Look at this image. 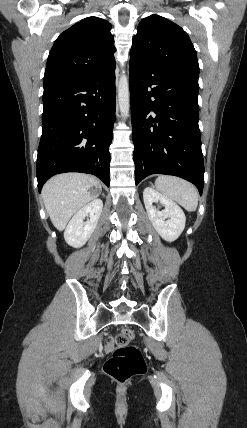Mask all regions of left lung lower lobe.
<instances>
[{
    "instance_id": "1",
    "label": "left lung lower lobe",
    "mask_w": 247,
    "mask_h": 428,
    "mask_svg": "<svg viewBox=\"0 0 247 428\" xmlns=\"http://www.w3.org/2000/svg\"><path fill=\"white\" fill-rule=\"evenodd\" d=\"M198 91L199 87L130 57L136 185L151 174L174 175L192 182L202 194Z\"/></svg>"
}]
</instances>
